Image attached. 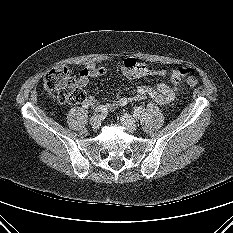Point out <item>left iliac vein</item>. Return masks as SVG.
I'll list each match as a JSON object with an SVG mask.
<instances>
[{"instance_id": "obj_1", "label": "left iliac vein", "mask_w": 233, "mask_h": 233, "mask_svg": "<svg viewBox=\"0 0 233 233\" xmlns=\"http://www.w3.org/2000/svg\"><path fill=\"white\" fill-rule=\"evenodd\" d=\"M120 121L122 125L127 128V130L131 133H134L138 130V125L135 121V119L130 116L129 114H123L120 117Z\"/></svg>"}]
</instances>
